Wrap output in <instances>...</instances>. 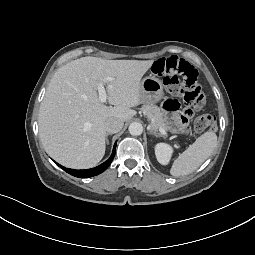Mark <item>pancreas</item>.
Here are the masks:
<instances>
[{"label": "pancreas", "instance_id": "pancreas-1", "mask_svg": "<svg viewBox=\"0 0 255 255\" xmlns=\"http://www.w3.org/2000/svg\"><path fill=\"white\" fill-rule=\"evenodd\" d=\"M142 111L147 116L154 131L159 130V128L168 130V126L164 122L163 114L161 113L159 107L156 105L148 104L142 107Z\"/></svg>", "mask_w": 255, "mask_h": 255}]
</instances>
